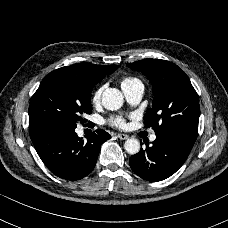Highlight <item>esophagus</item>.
<instances>
[{
  "label": "esophagus",
  "instance_id": "esophagus-1",
  "mask_svg": "<svg viewBox=\"0 0 228 228\" xmlns=\"http://www.w3.org/2000/svg\"><path fill=\"white\" fill-rule=\"evenodd\" d=\"M117 137H118L120 140H126V139L129 138V136L126 135V134H118Z\"/></svg>",
  "mask_w": 228,
  "mask_h": 228
}]
</instances>
